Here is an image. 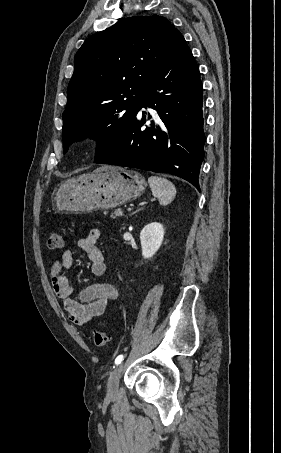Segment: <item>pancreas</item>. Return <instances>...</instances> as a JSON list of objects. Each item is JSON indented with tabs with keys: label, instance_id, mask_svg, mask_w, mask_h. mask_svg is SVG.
<instances>
[{
	"label": "pancreas",
	"instance_id": "1",
	"mask_svg": "<svg viewBox=\"0 0 281 453\" xmlns=\"http://www.w3.org/2000/svg\"><path fill=\"white\" fill-rule=\"evenodd\" d=\"M113 214H115V216H121V214H122L121 208H117V210H115V212H113ZM115 216H114V218H115Z\"/></svg>",
	"mask_w": 281,
	"mask_h": 453
}]
</instances>
